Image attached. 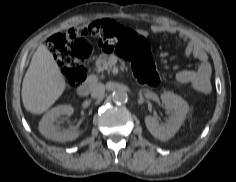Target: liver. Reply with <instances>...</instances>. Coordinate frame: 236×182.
I'll return each mask as SVG.
<instances>
[{
    "instance_id": "liver-1",
    "label": "liver",
    "mask_w": 236,
    "mask_h": 182,
    "mask_svg": "<svg viewBox=\"0 0 236 182\" xmlns=\"http://www.w3.org/2000/svg\"><path fill=\"white\" fill-rule=\"evenodd\" d=\"M65 79L53 54L44 44L34 52L22 83V101L32 114L47 111L63 94Z\"/></svg>"
}]
</instances>
